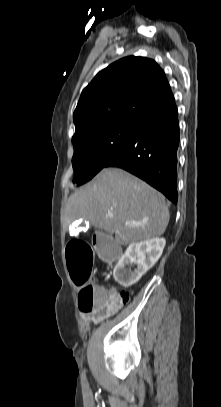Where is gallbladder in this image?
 <instances>
[{
	"mask_svg": "<svg viewBox=\"0 0 221 407\" xmlns=\"http://www.w3.org/2000/svg\"><path fill=\"white\" fill-rule=\"evenodd\" d=\"M110 243H111V244H113V241H112V240H110Z\"/></svg>",
	"mask_w": 221,
	"mask_h": 407,
	"instance_id": "bac80fb5",
	"label": "gallbladder"
}]
</instances>
